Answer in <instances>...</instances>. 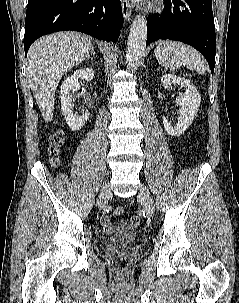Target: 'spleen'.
Returning a JSON list of instances; mask_svg holds the SVG:
<instances>
[{"mask_svg":"<svg viewBox=\"0 0 239 303\" xmlns=\"http://www.w3.org/2000/svg\"><path fill=\"white\" fill-rule=\"evenodd\" d=\"M155 56L165 69L174 71L182 65L199 74L206 71L204 59L193 47L177 41H161L155 48Z\"/></svg>","mask_w":239,"mask_h":303,"instance_id":"3e777b00","label":"spleen"}]
</instances>
